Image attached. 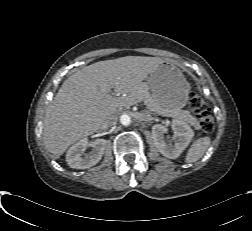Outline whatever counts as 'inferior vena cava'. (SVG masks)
<instances>
[{
	"label": "inferior vena cava",
	"instance_id": "obj_1",
	"mask_svg": "<svg viewBox=\"0 0 252 231\" xmlns=\"http://www.w3.org/2000/svg\"><path fill=\"white\" fill-rule=\"evenodd\" d=\"M118 121V115L117 114H110L108 115L105 120L102 123L103 128L111 127L115 125Z\"/></svg>",
	"mask_w": 252,
	"mask_h": 231
}]
</instances>
